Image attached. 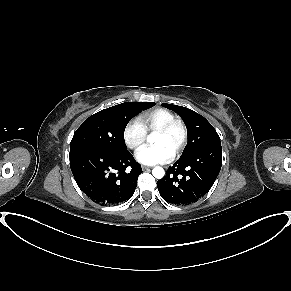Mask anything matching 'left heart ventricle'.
Masks as SVG:
<instances>
[{
	"mask_svg": "<svg viewBox=\"0 0 291 291\" xmlns=\"http://www.w3.org/2000/svg\"><path fill=\"white\" fill-rule=\"evenodd\" d=\"M180 139V132L179 130H174L171 134L169 135H163L156 133L153 136V143L154 145L161 144L166 146L168 149L171 151H174V148L177 144V142Z\"/></svg>",
	"mask_w": 291,
	"mask_h": 291,
	"instance_id": "left-heart-ventricle-1",
	"label": "left heart ventricle"
}]
</instances>
